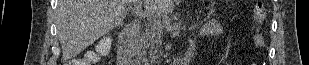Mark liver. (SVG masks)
<instances>
[{
    "mask_svg": "<svg viewBox=\"0 0 309 65\" xmlns=\"http://www.w3.org/2000/svg\"><path fill=\"white\" fill-rule=\"evenodd\" d=\"M132 1L135 0H59L56 22L63 59L78 55L120 25L126 17V5ZM174 1L141 2L151 13L163 15L173 11Z\"/></svg>",
    "mask_w": 309,
    "mask_h": 65,
    "instance_id": "6515ba94",
    "label": "liver"
}]
</instances>
